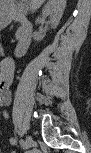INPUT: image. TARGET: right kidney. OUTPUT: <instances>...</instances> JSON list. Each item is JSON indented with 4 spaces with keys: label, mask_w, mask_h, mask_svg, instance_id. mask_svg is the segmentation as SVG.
Masks as SVG:
<instances>
[{
    "label": "right kidney",
    "mask_w": 91,
    "mask_h": 153,
    "mask_svg": "<svg viewBox=\"0 0 91 153\" xmlns=\"http://www.w3.org/2000/svg\"><path fill=\"white\" fill-rule=\"evenodd\" d=\"M65 8L64 0H49L43 7L41 15L36 19V23L44 22L47 16H50V24L52 28H56L60 22ZM33 38L40 41L44 38V33L35 32Z\"/></svg>",
    "instance_id": "right-kidney-1"
}]
</instances>
